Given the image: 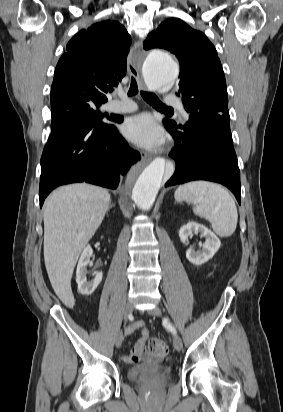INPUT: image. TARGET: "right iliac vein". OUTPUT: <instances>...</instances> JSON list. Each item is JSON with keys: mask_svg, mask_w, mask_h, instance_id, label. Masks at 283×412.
I'll list each match as a JSON object with an SVG mask.
<instances>
[{"mask_svg": "<svg viewBox=\"0 0 283 412\" xmlns=\"http://www.w3.org/2000/svg\"><path fill=\"white\" fill-rule=\"evenodd\" d=\"M132 310H133V307H132V305L131 304H126L125 305V308H124V316H125V318L132 312ZM123 333H122V331H119L118 333H117V336H116V340H115V344H116V347H120L121 346V344H122V341H123Z\"/></svg>", "mask_w": 283, "mask_h": 412, "instance_id": "right-iliac-vein-1", "label": "right iliac vein"}]
</instances>
